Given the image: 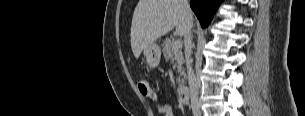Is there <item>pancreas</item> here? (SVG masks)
Returning <instances> with one entry per match:
<instances>
[{
	"label": "pancreas",
	"mask_w": 305,
	"mask_h": 116,
	"mask_svg": "<svg viewBox=\"0 0 305 116\" xmlns=\"http://www.w3.org/2000/svg\"><path fill=\"white\" fill-rule=\"evenodd\" d=\"M174 41L171 39H167L164 41L163 44V54L166 61H172L174 64V67L177 68V72L179 73V76L177 77L176 81L178 85H181L184 82V79L182 76H184V57L181 49L173 50L172 45Z\"/></svg>",
	"instance_id": "obj_1"
}]
</instances>
